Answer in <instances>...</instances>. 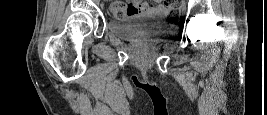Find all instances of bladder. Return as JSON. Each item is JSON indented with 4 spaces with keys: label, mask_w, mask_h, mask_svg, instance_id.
<instances>
[{
    "label": "bladder",
    "mask_w": 267,
    "mask_h": 115,
    "mask_svg": "<svg viewBox=\"0 0 267 115\" xmlns=\"http://www.w3.org/2000/svg\"><path fill=\"white\" fill-rule=\"evenodd\" d=\"M162 15L159 13H128L108 22V30L123 40L158 39L166 35V30L155 25Z\"/></svg>",
    "instance_id": "bladder-1"
}]
</instances>
